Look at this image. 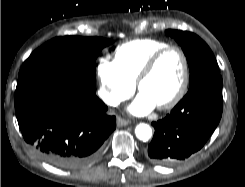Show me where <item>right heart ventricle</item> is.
<instances>
[{
	"label": "right heart ventricle",
	"mask_w": 245,
	"mask_h": 187,
	"mask_svg": "<svg viewBox=\"0 0 245 187\" xmlns=\"http://www.w3.org/2000/svg\"><path fill=\"white\" fill-rule=\"evenodd\" d=\"M165 41L154 38L134 39L117 46L114 53V61L133 84L148 61V59L159 49L168 46Z\"/></svg>",
	"instance_id": "1"
}]
</instances>
